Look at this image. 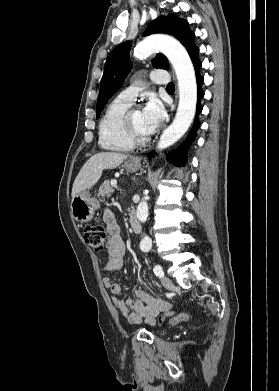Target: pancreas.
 <instances>
[{
  "instance_id": "obj_1",
  "label": "pancreas",
  "mask_w": 279,
  "mask_h": 391,
  "mask_svg": "<svg viewBox=\"0 0 279 391\" xmlns=\"http://www.w3.org/2000/svg\"><path fill=\"white\" fill-rule=\"evenodd\" d=\"M110 181H105L99 188L98 196L102 199L111 197V194L114 192L113 188L110 186Z\"/></svg>"
}]
</instances>
